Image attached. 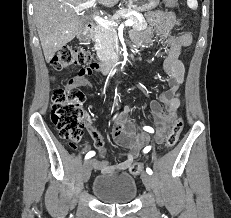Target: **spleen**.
Listing matches in <instances>:
<instances>
[{
	"mask_svg": "<svg viewBox=\"0 0 231 218\" xmlns=\"http://www.w3.org/2000/svg\"><path fill=\"white\" fill-rule=\"evenodd\" d=\"M187 5L191 9H197L198 2H197V0H187Z\"/></svg>",
	"mask_w": 231,
	"mask_h": 218,
	"instance_id": "spleen-1",
	"label": "spleen"
}]
</instances>
